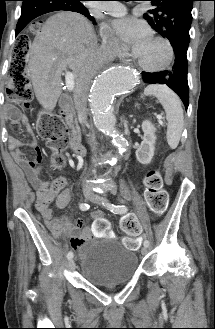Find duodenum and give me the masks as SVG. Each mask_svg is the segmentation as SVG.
Instances as JSON below:
<instances>
[{
    "label": "duodenum",
    "instance_id": "duodenum-1",
    "mask_svg": "<svg viewBox=\"0 0 215 329\" xmlns=\"http://www.w3.org/2000/svg\"><path fill=\"white\" fill-rule=\"evenodd\" d=\"M60 114L66 120L68 125L71 123L73 114L72 98L68 94H62L60 98ZM70 150L77 156H82L85 153V148L81 143L79 134L72 132L70 134Z\"/></svg>",
    "mask_w": 215,
    "mask_h": 329
}]
</instances>
